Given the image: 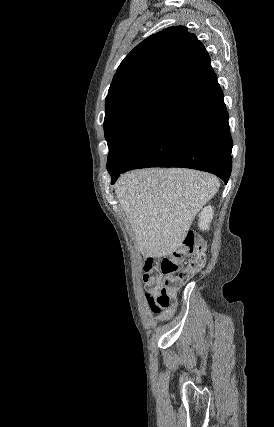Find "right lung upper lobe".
I'll return each instance as SVG.
<instances>
[{"mask_svg":"<svg viewBox=\"0 0 274 427\" xmlns=\"http://www.w3.org/2000/svg\"><path fill=\"white\" fill-rule=\"evenodd\" d=\"M216 77L203 44L184 26H173L138 44L121 62L108 90L105 112L150 94L175 100Z\"/></svg>","mask_w":274,"mask_h":427,"instance_id":"right-lung-upper-lobe-1","label":"right lung upper lobe"}]
</instances>
